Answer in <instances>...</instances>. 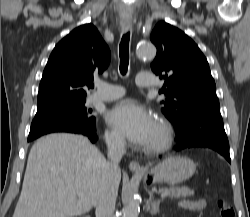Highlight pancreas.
Wrapping results in <instances>:
<instances>
[{"mask_svg": "<svg viewBox=\"0 0 250 217\" xmlns=\"http://www.w3.org/2000/svg\"><path fill=\"white\" fill-rule=\"evenodd\" d=\"M168 192V196L171 198H181V197H187L192 196L194 194V191L187 188V187H170V188H160L159 192Z\"/></svg>", "mask_w": 250, "mask_h": 217, "instance_id": "cf45deb5", "label": "pancreas"}]
</instances>
